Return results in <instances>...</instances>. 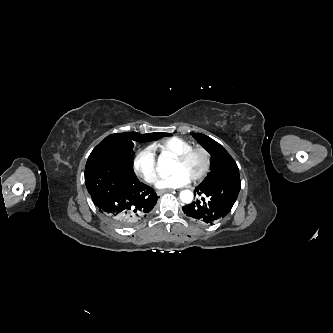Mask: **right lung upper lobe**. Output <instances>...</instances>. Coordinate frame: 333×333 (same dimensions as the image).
<instances>
[{
	"label": "right lung upper lobe",
	"mask_w": 333,
	"mask_h": 333,
	"mask_svg": "<svg viewBox=\"0 0 333 333\" xmlns=\"http://www.w3.org/2000/svg\"><path fill=\"white\" fill-rule=\"evenodd\" d=\"M155 134H157V133H150V134H147V135H151V136H154Z\"/></svg>",
	"instance_id": "cb5924a9"
}]
</instances>
